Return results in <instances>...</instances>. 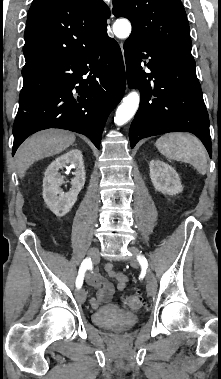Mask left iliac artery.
<instances>
[{
  "instance_id": "obj_1",
  "label": "left iliac artery",
  "mask_w": 221,
  "mask_h": 379,
  "mask_svg": "<svg viewBox=\"0 0 221 379\" xmlns=\"http://www.w3.org/2000/svg\"><path fill=\"white\" fill-rule=\"evenodd\" d=\"M138 261L140 262V264L142 266H146L147 267L148 262H147V260H146V258L144 256H138Z\"/></svg>"
}]
</instances>
